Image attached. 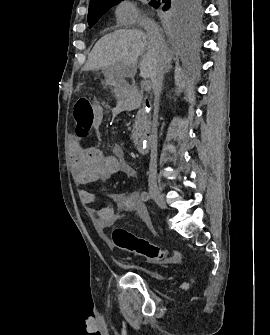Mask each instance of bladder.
I'll list each match as a JSON object with an SVG mask.
<instances>
[{
    "mask_svg": "<svg viewBox=\"0 0 270 335\" xmlns=\"http://www.w3.org/2000/svg\"><path fill=\"white\" fill-rule=\"evenodd\" d=\"M154 277H155V278H162V275H160V274H158V273H155V274H154Z\"/></svg>",
    "mask_w": 270,
    "mask_h": 335,
    "instance_id": "31cf9c89",
    "label": "bladder"
}]
</instances>
